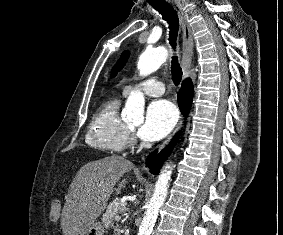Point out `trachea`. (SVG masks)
<instances>
[{"mask_svg": "<svg viewBox=\"0 0 283 235\" xmlns=\"http://www.w3.org/2000/svg\"><path fill=\"white\" fill-rule=\"evenodd\" d=\"M152 7L157 10L161 15L162 18L167 21L169 25V42L173 49L176 48V40H177V34L179 30V22L178 17L173 9L168 3L166 2H160V3H153L151 4ZM171 74H172V80L175 85H179L181 79H182V69L179 65L178 59L176 56H173L172 62H171Z\"/></svg>", "mask_w": 283, "mask_h": 235, "instance_id": "obj_1", "label": "trachea"}]
</instances>
